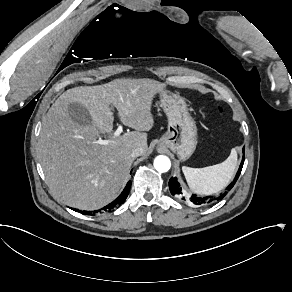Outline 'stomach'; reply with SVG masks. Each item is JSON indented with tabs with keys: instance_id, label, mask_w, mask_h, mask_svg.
<instances>
[{
	"instance_id": "0dacf381",
	"label": "stomach",
	"mask_w": 292,
	"mask_h": 292,
	"mask_svg": "<svg viewBox=\"0 0 292 292\" xmlns=\"http://www.w3.org/2000/svg\"><path fill=\"white\" fill-rule=\"evenodd\" d=\"M160 103L168 118L167 132L159 141L160 146L169 148L180 160H187L197 145V127L188 112L186 102L176 94L160 92Z\"/></svg>"
}]
</instances>
